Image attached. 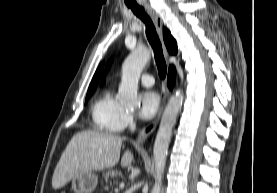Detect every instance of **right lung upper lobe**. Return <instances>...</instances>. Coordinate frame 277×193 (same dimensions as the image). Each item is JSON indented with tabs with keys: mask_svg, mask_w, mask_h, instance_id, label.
I'll use <instances>...</instances> for the list:
<instances>
[{
	"mask_svg": "<svg viewBox=\"0 0 277 193\" xmlns=\"http://www.w3.org/2000/svg\"><path fill=\"white\" fill-rule=\"evenodd\" d=\"M163 37L165 45L171 54L177 53V44L171 33L166 28L163 29ZM103 64L96 70L95 75L90 83L87 94L93 93L102 75Z\"/></svg>",
	"mask_w": 277,
	"mask_h": 193,
	"instance_id": "1",
	"label": "right lung upper lobe"
}]
</instances>
